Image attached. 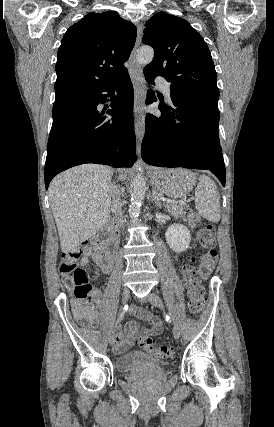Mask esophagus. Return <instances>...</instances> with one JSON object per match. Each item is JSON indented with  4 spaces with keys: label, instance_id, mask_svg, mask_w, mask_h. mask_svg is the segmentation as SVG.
Listing matches in <instances>:
<instances>
[{
    "label": "esophagus",
    "instance_id": "esophagus-1",
    "mask_svg": "<svg viewBox=\"0 0 274 427\" xmlns=\"http://www.w3.org/2000/svg\"><path fill=\"white\" fill-rule=\"evenodd\" d=\"M142 26L137 27V40L134 49L129 58L128 71L134 88V120H135V135L137 141V152L140 154L141 142L144 136V88L142 85L144 76L141 66L137 62V52L142 38Z\"/></svg>",
    "mask_w": 274,
    "mask_h": 427
}]
</instances>
